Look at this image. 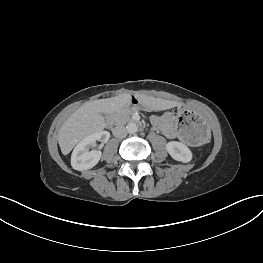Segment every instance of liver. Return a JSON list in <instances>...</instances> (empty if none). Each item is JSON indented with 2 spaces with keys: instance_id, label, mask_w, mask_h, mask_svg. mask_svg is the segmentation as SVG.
Returning <instances> with one entry per match:
<instances>
[{
  "instance_id": "liver-1",
  "label": "liver",
  "mask_w": 263,
  "mask_h": 263,
  "mask_svg": "<svg viewBox=\"0 0 263 263\" xmlns=\"http://www.w3.org/2000/svg\"><path fill=\"white\" fill-rule=\"evenodd\" d=\"M134 96L154 110H167L181 105L177 101L153 98L141 94H135ZM130 101V94H121L83 104L63 123L59 130L58 143L62 154H69L82 139L102 131L106 127L105 118L102 114H114L127 109Z\"/></svg>"
}]
</instances>
